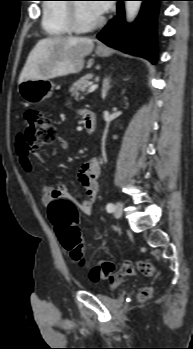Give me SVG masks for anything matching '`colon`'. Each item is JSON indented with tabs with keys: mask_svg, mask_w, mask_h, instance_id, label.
<instances>
[{
	"mask_svg": "<svg viewBox=\"0 0 193 349\" xmlns=\"http://www.w3.org/2000/svg\"><path fill=\"white\" fill-rule=\"evenodd\" d=\"M23 137L29 152L53 142L56 129L52 121L40 110L29 109L24 114ZM48 216L58 239L71 259L81 266L85 265L86 253L78 228V210L74 202L67 199H56L48 205ZM138 270L146 275H153L155 268L148 260L137 263ZM114 264L108 260L98 261L90 270V279L98 281L109 279ZM152 294L149 287L140 292V299L145 300Z\"/></svg>",
	"mask_w": 193,
	"mask_h": 349,
	"instance_id": "obj_1",
	"label": "colon"
}]
</instances>
